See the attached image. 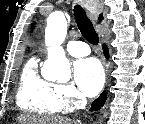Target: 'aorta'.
I'll return each instance as SVG.
<instances>
[{
	"label": "aorta",
	"instance_id": "762f6f07",
	"mask_svg": "<svg viewBox=\"0 0 145 124\" xmlns=\"http://www.w3.org/2000/svg\"><path fill=\"white\" fill-rule=\"evenodd\" d=\"M67 34V19L64 13H53L47 20L45 44L48 46V59L41 70L44 79L67 82L71 78L70 63L61 44Z\"/></svg>",
	"mask_w": 145,
	"mask_h": 124
}]
</instances>
